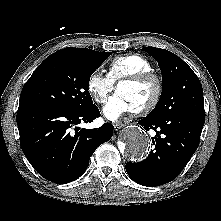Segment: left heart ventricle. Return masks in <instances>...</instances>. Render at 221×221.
<instances>
[{
  "label": "left heart ventricle",
  "instance_id": "obj_1",
  "mask_svg": "<svg viewBox=\"0 0 221 221\" xmlns=\"http://www.w3.org/2000/svg\"><path fill=\"white\" fill-rule=\"evenodd\" d=\"M155 86L152 82L141 84H121L117 93L123 95L134 110L146 105L153 97Z\"/></svg>",
  "mask_w": 221,
  "mask_h": 221
}]
</instances>
